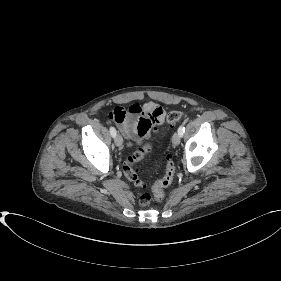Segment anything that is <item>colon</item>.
Returning a JSON list of instances; mask_svg holds the SVG:
<instances>
[{
  "label": "colon",
  "instance_id": "5ec220e1",
  "mask_svg": "<svg viewBox=\"0 0 281 281\" xmlns=\"http://www.w3.org/2000/svg\"><path fill=\"white\" fill-rule=\"evenodd\" d=\"M137 104H133L128 109L124 107H117L110 114V117L114 121H121L125 118L128 112H136ZM183 118V113L180 111H171L167 116V123L170 125H176ZM153 149V145L151 143H146L142 147L138 148L132 155H130L126 161L124 162L123 172L126 178L132 182L135 186L141 189H150L152 194L143 193L140 196L139 204L141 206H147L152 201L161 202L164 199V190L167 188L173 181L175 175V165L170 157H167L166 161V170L165 174L162 178L156 180L153 184L148 185L144 182L135 169V164L142 161Z\"/></svg>",
  "mask_w": 281,
  "mask_h": 281
}]
</instances>
